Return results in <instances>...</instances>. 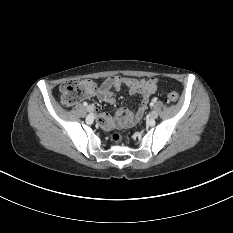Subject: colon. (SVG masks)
Segmentation results:
<instances>
[{
	"mask_svg": "<svg viewBox=\"0 0 233 233\" xmlns=\"http://www.w3.org/2000/svg\"><path fill=\"white\" fill-rule=\"evenodd\" d=\"M96 90L97 84L92 79H72L65 81L60 86L61 103L65 107H70L78 100L92 96ZM167 99L170 102H176L179 99V95L177 92L171 91L167 94ZM112 139L118 142L120 136L114 134Z\"/></svg>",
	"mask_w": 233,
	"mask_h": 233,
	"instance_id": "colon-1",
	"label": "colon"
}]
</instances>
